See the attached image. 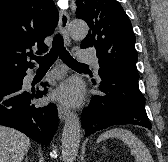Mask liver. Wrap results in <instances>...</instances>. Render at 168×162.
Instances as JSON below:
<instances>
[{
  "mask_svg": "<svg viewBox=\"0 0 168 162\" xmlns=\"http://www.w3.org/2000/svg\"><path fill=\"white\" fill-rule=\"evenodd\" d=\"M30 148V139L23 133L0 125V162H22Z\"/></svg>",
  "mask_w": 168,
  "mask_h": 162,
  "instance_id": "6515ba94",
  "label": "liver"
}]
</instances>
